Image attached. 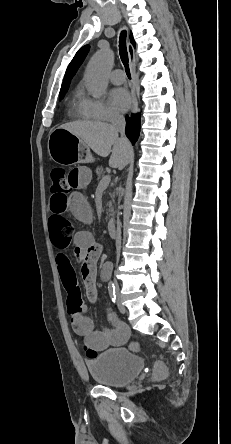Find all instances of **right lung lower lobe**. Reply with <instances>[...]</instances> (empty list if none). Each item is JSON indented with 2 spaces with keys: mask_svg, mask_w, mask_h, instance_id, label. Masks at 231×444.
Returning a JSON list of instances; mask_svg holds the SVG:
<instances>
[{
  "mask_svg": "<svg viewBox=\"0 0 231 444\" xmlns=\"http://www.w3.org/2000/svg\"><path fill=\"white\" fill-rule=\"evenodd\" d=\"M126 135L132 142L135 144V141L138 139L140 132V115H132L131 118L126 116Z\"/></svg>",
  "mask_w": 231,
  "mask_h": 444,
  "instance_id": "right-lung-lower-lobe-1",
  "label": "right lung lower lobe"
}]
</instances>
